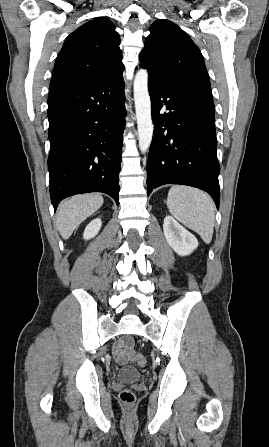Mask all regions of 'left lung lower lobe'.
<instances>
[{"mask_svg": "<svg viewBox=\"0 0 269 447\" xmlns=\"http://www.w3.org/2000/svg\"><path fill=\"white\" fill-rule=\"evenodd\" d=\"M153 139L147 162V192L164 184L189 185L220 202L215 118L185 91L149 77ZM167 112L162 113L163 111Z\"/></svg>", "mask_w": 269, "mask_h": 447, "instance_id": "obj_1", "label": "left lung lower lobe"}]
</instances>
